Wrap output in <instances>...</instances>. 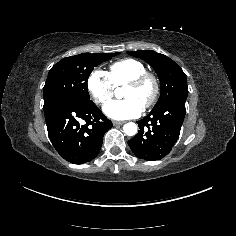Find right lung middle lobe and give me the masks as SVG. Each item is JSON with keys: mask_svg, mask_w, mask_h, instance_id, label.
Returning <instances> with one entry per match:
<instances>
[{"mask_svg": "<svg viewBox=\"0 0 236 236\" xmlns=\"http://www.w3.org/2000/svg\"><path fill=\"white\" fill-rule=\"evenodd\" d=\"M118 54L82 53L60 60L48 73L43 88L44 105L57 99L78 104L90 103L87 81L91 71Z\"/></svg>", "mask_w": 236, "mask_h": 236, "instance_id": "obj_1", "label": "right lung middle lobe"}]
</instances>
